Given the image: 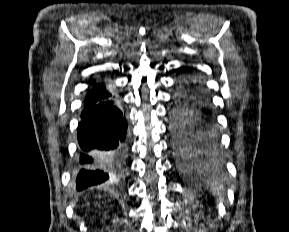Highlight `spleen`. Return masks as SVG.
I'll return each mask as SVG.
<instances>
[{
  "label": "spleen",
  "instance_id": "obj_1",
  "mask_svg": "<svg viewBox=\"0 0 289 232\" xmlns=\"http://www.w3.org/2000/svg\"><path fill=\"white\" fill-rule=\"evenodd\" d=\"M213 191L216 193V195H218L219 198H221L222 197L223 186H221V185L214 186L213 187Z\"/></svg>",
  "mask_w": 289,
  "mask_h": 232
}]
</instances>
